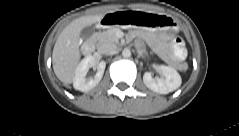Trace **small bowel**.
I'll return each instance as SVG.
<instances>
[{"label": "small bowel", "mask_w": 239, "mask_h": 136, "mask_svg": "<svg viewBox=\"0 0 239 136\" xmlns=\"http://www.w3.org/2000/svg\"><path fill=\"white\" fill-rule=\"evenodd\" d=\"M173 47H174L176 56L180 59L183 58L184 55H185V52H184V49H183V43L177 39V40L174 41ZM180 49H182L183 51L180 52L179 51Z\"/></svg>", "instance_id": "small-bowel-1"}]
</instances>
